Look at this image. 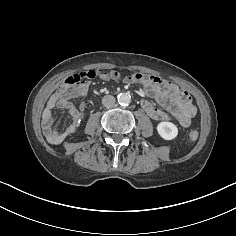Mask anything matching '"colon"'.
I'll return each instance as SVG.
<instances>
[{
  "instance_id": "obj_1",
  "label": "colon",
  "mask_w": 236,
  "mask_h": 236,
  "mask_svg": "<svg viewBox=\"0 0 236 236\" xmlns=\"http://www.w3.org/2000/svg\"><path fill=\"white\" fill-rule=\"evenodd\" d=\"M95 76V72L93 73V77ZM103 76L109 79H114L117 78L119 76V73L113 70L110 71H105L103 72ZM143 75L139 74V73H132L130 75H128V79L130 81L136 82L138 81ZM92 77V78H93ZM87 78H84L81 74H79L75 81L80 82L82 80H85ZM198 138V131L197 130H193L191 131L188 135H187V139L189 141H195Z\"/></svg>"
}]
</instances>
